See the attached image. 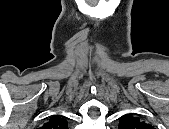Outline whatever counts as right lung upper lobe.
<instances>
[{"instance_id": "right-lung-upper-lobe-1", "label": "right lung upper lobe", "mask_w": 169, "mask_h": 129, "mask_svg": "<svg viewBox=\"0 0 169 129\" xmlns=\"http://www.w3.org/2000/svg\"><path fill=\"white\" fill-rule=\"evenodd\" d=\"M44 128L46 129H67V121L61 117H52L49 122L45 123Z\"/></svg>"}]
</instances>
